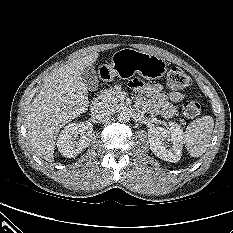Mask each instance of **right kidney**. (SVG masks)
<instances>
[{
  "instance_id": "obj_1",
  "label": "right kidney",
  "mask_w": 233,
  "mask_h": 233,
  "mask_svg": "<svg viewBox=\"0 0 233 233\" xmlns=\"http://www.w3.org/2000/svg\"><path fill=\"white\" fill-rule=\"evenodd\" d=\"M92 131L93 125L90 122L69 123L59 134V152L67 158L77 156L89 146Z\"/></svg>"
}]
</instances>
